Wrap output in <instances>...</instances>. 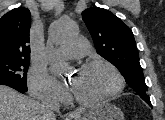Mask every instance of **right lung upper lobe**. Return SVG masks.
Segmentation results:
<instances>
[{"mask_svg":"<svg viewBox=\"0 0 165 120\" xmlns=\"http://www.w3.org/2000/svg\"><path fill=\"white\" fill-rule=\"evenodd\" d=\"M30 11L16 8L0 19V58H30Z\"/></svg>","mask_w":165,"mask_h":120,"instance_id":"cb5924a9","label":"right lung upper lobe"}]
</instances>
